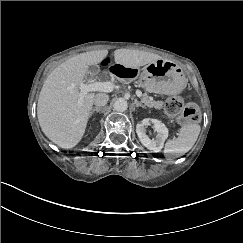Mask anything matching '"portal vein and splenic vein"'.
<instances>
[{"label":"portal vein and splenic vein","mask_w":243,"mask_h":243,"mask_svg":"<svg viewBox=\"0 0 243 243\" xmlns=\"http://www.w3.org/2000/svg\"><path fill=\"white\" fill-rule=\"evenodd\" d=\"M115 85L112 82H94L90 84H80V96L78 99V104H81L84 98V95L91 91H100V92H112ZM137 97L142 96L140 90H136Z\"/></svg>","instance_id":"18ae733b"}]
</instances>
